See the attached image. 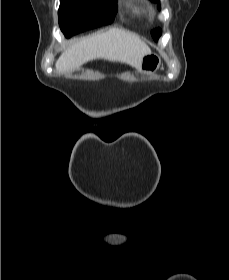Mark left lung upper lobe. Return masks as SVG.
<instances>
[{"label":"left lung upper lobe","instance_id":"5c2ea615","mask_svg":"<svg viewBox=\"0 0 229 280\" xmlns=\"http://www.w3.org/2000/svg\"><path fill=\"white\" fill-rule=\"evenodd\" d=\"M151 1H153V2H159V0H151ZM158 8H159V10H160V5L158 6ZM161 33H162V31H161V29H159V28L154 29V30L151 31V35H152V37H153V39H154L155 41H157V40L159 39V37L161 36Z\"/></svg>","mask_w":229,"mask_h":280}]
</instances>
